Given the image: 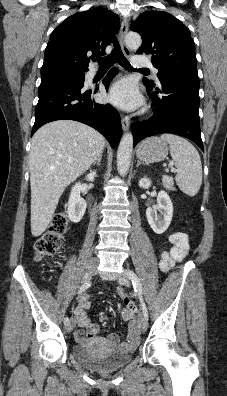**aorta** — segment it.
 <instances>
[{
	"label": "aorta",
	"mask_w": 227,
	"mask_h": 396,
	"mask_svg": "<svg viewBox=\"0 0 227 396\" xmlns=\"http://www.w3.org/2000/svg\"><path fill=\"white\" fill-rule=\"evenodd\" d=\"M126 45L131 49H138L141 46L142 39L138 33L130 32L125 36ZM133 150V135L125 133L119 143L117 152V170L120 175L127 174L132 157Z\"/></svg>",
	"instance_id": "aorta-1"
}]
</instances>
